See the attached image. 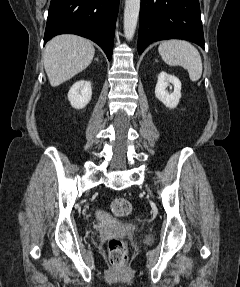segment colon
<instances>
[{"mask_svg":"<svg viewBox=\"0 0 240 287\" xmlns=\"http://www.w3.org/2000/svg\"><path fill=\"white\" fill-rule=\"evenodd\" d=\"M111 211L116 217L128 216L132 211V204L126 198H115L111 203ZM108 254L110 263L115 268H121L127 260V247L120 239H111L108 242Z\"/></svg>","mask_w":240,"mask_h":287,"instance_id":"1","label":"colon"}]
</instances>
